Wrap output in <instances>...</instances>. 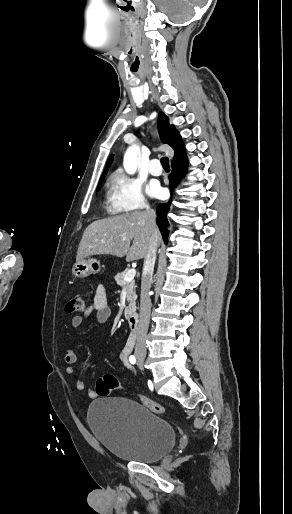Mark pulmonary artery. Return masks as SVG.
Listing matches in <instances>:
<instances>
[{
    "instance_id": "obj_1",
    "label": "pulmonary artery",
    "mask_w": 292,
    "mask_h": 514,
    "mask_svg": "<svg viewBox=\"0 0 292 514\" xmlns=\"http://www.w3.org/2000/svg\"><path fill=\"white\" fill-rule=\"evenodd\" d=\"M159 163H160V160L158 157L153 156L150 158L147 168L151 172L152 175H155V176L160 175V171H158L160 168Z\"/></svg>"
}]
</instances>
